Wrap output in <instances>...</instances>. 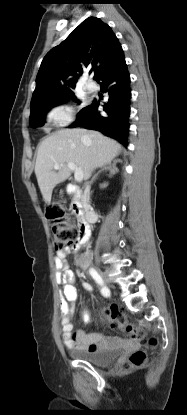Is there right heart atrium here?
I'll return each mask as SVG.
<instances>
[{
	"label": "right heart atrium",
	"mask_w": 187,
	"mask_h": 415,
	"mask_svg": "<svg viewBox=\"0 0 187 415\" xmlns=\"http://www.w3.org/2000/svg\"><path fill=\"white\" fill-rule=\"evenodd\" d=\"M73 119L74 110L66 103L50 108L45 115V121L53 128L67 127L73 122Z\"/></svg>",
	"instance_id": "right-heart-atrium-1"
}]
</instances>
